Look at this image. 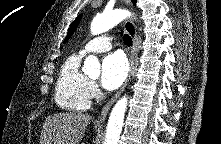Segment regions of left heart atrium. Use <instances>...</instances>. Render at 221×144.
I'll return each instance as SVG.
<instances>
[{
  "label": "left heart atrium",
  "mask_w": 221,
  "mask_h": 144,
  "mask_svg": "<svg viewBox=\"0 0 221 144\" xmlns=\"http://www.w3.org/2000/svg\"><path fill=\"white\" fill-rule=\"evenodd\" d=\"M128 74L126 58L121 53L107 55L102 61L101 83L107 90L118 88Z\"/></svg>",
  "instance_id": "left-heart-atrium-1"
}]
</instances>
